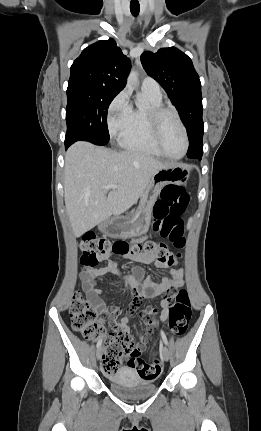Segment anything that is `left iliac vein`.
Instances as JSON below:
<instances>
[{"label": "left iliac vein", "instance_id": "obj_1", "mask_svg": "<svg viewBox=\"0 0 261 431\" xmlns=\"http://www.w3.org/2000/svg\"><path fill=\"white\" fill-rule=\"evenodd\" d=\"M162 354L165 361H168L170 359V352L166 346L162 347Z\"/></svg>", "mask_w": 261, "mask_h": 431}]
</instances>
